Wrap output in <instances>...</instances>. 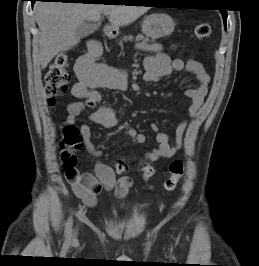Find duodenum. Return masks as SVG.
I'll list each match as a JSON object with an SVG mask.
<instances>
[{"label": "duodenum", "instance_id": "obj_1", "mask_svg": "<svg viewBox=\"0 0 259 266\" xmlns=\"http://www.w3.org/2000/svg\"><path fill=\"white\" fill-rule=\"evenodd\" d=\"M105 35H106V37H108V38H112L113 35H114L113 30H112L111 28L107 27V28L105 29ZM90 50H91L94 54H99V52H100V47H99V45H97V44H93V45H91Z\"/></svg>", "mask_w": 259, "mask_h": 266}]
</instances>
